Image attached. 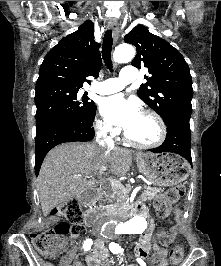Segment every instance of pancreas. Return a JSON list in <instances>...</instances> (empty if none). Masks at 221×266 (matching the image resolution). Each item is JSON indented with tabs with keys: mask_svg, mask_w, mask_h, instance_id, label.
Listing matches in <instances>:
<instances>
[{
	"mask_svg": "<svg viewBox=\"0 0 221 266\" xmlns=\"http://www.w3.org/2000/svg\"><path fill=\"white\" fill-rule=\"evenodd\" d=\"M162 188H151L149 186H145L144 192L141 194L140 199L142 201L152 200L159 193L163 192ZM127 199V192L120 190L116 187L106 188L102 196L98 197L96 201L99 202L100 208L105 211H111L113 208L122 205ZM108 203V205L103 206L102 203Z\"/></svg>",
	"mask_w": 221,
	"mask_h": 266,
	"instance_id": "pancreas-1",
	"label": "pancreas"
}]
</instances>
